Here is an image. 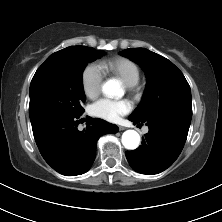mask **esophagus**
Instances as JSON below:
<instances>
[{"label":"esophagus","instance_id":"obj_1","mask_svg":"<svg viewBox=\"0 0 222 222\" xmlns=\"http://www.w3.org/2000/svg\"><path fill=\"white\" fill-rule=\"evenodd\" d=\"M119 127V130L120 131H123V130H125L126 128L125 127H123V126H118Z\"/></svg>","mask_w":222,"mask_h":222}]
</instances>
